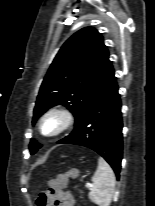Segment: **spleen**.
<instances>
[{
    "instance_id": "spleen-1",
    "label": "spleen",
    "mask_w": 155,
    "mask_h": 206,
    "mask_svg": "<svg viewBox=\"0 0 155 206\" xmlns=\"http://www.w3.org/2000/svg\"><path fill=\"white\" fill-rule=\"evenodd\" d=\"M92 182L89 199L98 206H109L114 195L116 179L112 168L102 157L98 159Z\"/></svg>"
}]
</instances>
